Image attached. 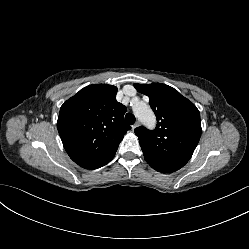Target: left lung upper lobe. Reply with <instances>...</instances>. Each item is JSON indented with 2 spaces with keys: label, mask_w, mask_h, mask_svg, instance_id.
<instances>
[{
  "label": "left lung upper lobe",
  "mask_w": 249,
  "mask_h": 249,
  "mask_svg": "<svg viewBox=\"0 0 249 249\" xmlns=\"http://www.w3.org/2000/svg\"><path fill=\"white\" fill-rule=\"evenodd\" d=\"M134 87L149 97L157 118L155 130L135 129L145 160L150 165L182 168L191 158L201 136L198 109L168 85L134 84Z\"/></svg>",
  "instance_id": "1"
}]
</instances>
